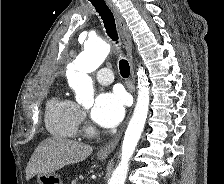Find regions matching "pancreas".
<instances>
[{
	"mask_svg": "<svg viewBox=\"0 0 224 184\" xmlns=\"http://www.w3.org/2000/svg\"><path fill=\"white\" fill-rule=\"evenodd\" d=\"M71 184H79L78 183V178L73 179L72 182H71Z\"/></svg>",
	"mask_w": 224,
	"mask_h": 184,
	"instance_id": "cf45deb5",
	"label": "pancreas"
}]
</instances>
